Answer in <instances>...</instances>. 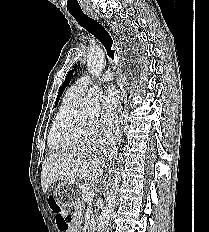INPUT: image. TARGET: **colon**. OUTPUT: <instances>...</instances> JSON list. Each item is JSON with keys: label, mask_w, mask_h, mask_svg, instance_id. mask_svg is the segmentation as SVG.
Listing matches in <instances>:
<instances>
[{"label": "colon", "mask_w": 209, "mask_h": 232, "mask_svg": "<svg viewBox=\"0 0 209 232\" xmlns=\"http://www.w3.org/2000/svg\"><path fill=\"white\" fill-rule=\"evenodd\" d=\"M47 206H51V211L56 214V223L59 228L65 229L71 222L72 217L69 213L60 209V206H56L57 202L54 197H47Z\"/></svg>", "instance_id": "5ec220e1"}]
</instances>
